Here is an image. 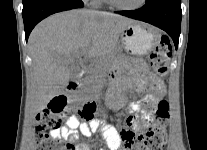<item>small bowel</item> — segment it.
I'll list each match as a JSON object with an SVG mask.
<instances>
[{"mask_svg":"<svg viewBox=\"0 0 207 150\" xmlns=\"http://www.w3.org/2000/svg\"><path fill=\"white\" fill-rule=\"evenodd\" d=\"M139 69L142 75L129 79L126 77H116L108 92V103L113 108H119L126 102L125 98L120 95L121 91L129 85H132L134 89L139 93H145L147 90H152L153 94L148 95L147 99H160L165 95V87L163 82L159 79V87H152V79L157 77L153 75H146V66L142 63L139 64ZM132 114L127 117V125L133 130L139 131L150 116L152 115V109L141 110L139 103H133L130 105ZM141 115L144 121L140 122L139 115ZM98 131L104 140L109 150H123V137L122 133H118L116 129L106 123L105 121L93 119L88 122H80L76 115H71L66 124L55 130H52L49 135L54 138H61L63 140L73 141L78 137L80 133L83 137L88 138L94 132ZM73 150H90L88 143L84 140L77 145H72Z\"/></svg>","mask_w":207,"mask_h":150,"instance_id":"obj_1","label":"small bowel"}]
</instances>
